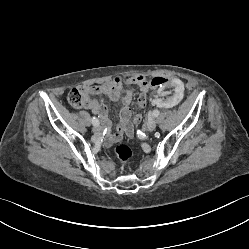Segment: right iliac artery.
Returning <instances> with one entry per match:
<instances>
[{
    "mask_svg": "<svg viewBox=\"0 0 249 249\" xmlns=\"http://www.w3.org/2000/svg\"><path fill=\"white\" fill-rule=\"evenodd\" d=\"M92 123L94 126L99 125V120L96 117H92Z\"/></svg>",
    "mask_w": 249,
    "mask_h": 249,
    "instance_id": "right-iliac-artery-1",
    "label": "right iliac artery"
}]
</instances>
